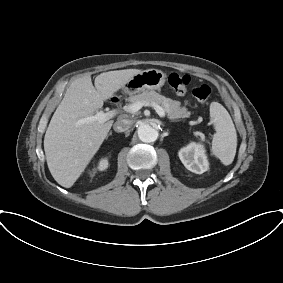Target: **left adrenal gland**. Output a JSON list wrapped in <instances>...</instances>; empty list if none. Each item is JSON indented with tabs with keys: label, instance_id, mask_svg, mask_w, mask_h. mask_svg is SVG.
I'll return each instance as SVG.
<instances>
[{
	"label": "left adrenal gland",
	"instance_id": "1",
	"mask_svg": "<svg viewBox=\"0 0 283 283\" xmlns=\"http://www.w3.org/2000/svg\"><path fill=\"white\" fill-rule=\"evenodd\" d=\"M170 122H176V121H174V120H171Z\"/></svg>",
	"mask_w": 283,
	"mask_h": 283
}]
</instances>
